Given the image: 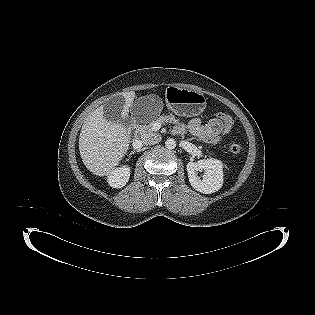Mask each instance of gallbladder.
I'll return each instance as SVG.
<instances>
[{
  "label": "gallbladder",
  "instance_id": "gallbladder-1",
  "mask_svg": "<svg viewBox=\"0 0 315 315\" xmlns=\"http://www.w3.org/2000/svg\"><path fill=\"white\" fill-rule=\"evenodd\" d=\"M125 101L122 97H115L103 104L104 117L110 122H123L122 113Z\"/></svg>",
  "mask_w": 315,
  "mask_h": 315
}]
</instances>
